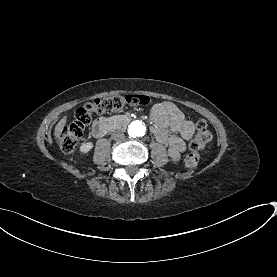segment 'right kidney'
I'll return each instance as SVG.
<instances>
[{
  "label": "right kidney",
  "instance_id": "obj_1",
  "mask_svg": "<svg viewBox=\"0 0 277 277\" xmlns=\"http://www.w3.org/2000/svg\"><path fill=\"white\" fill-rule=\"evenodd\" d=\"M94 148V143L92 141H88V142H83L79 148H78V152L83 155V154H88L90 153Z\"/></svg>",
  "mask_w": 277,
  "mask_h": 277
}]
</instances>
